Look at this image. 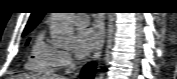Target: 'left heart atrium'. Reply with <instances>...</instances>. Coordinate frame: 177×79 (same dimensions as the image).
<instances>
[{
    "instance_id": "left-heart-atrium-1",
    "label": "left heart atrium",
    "mask_w": 177,
    "mask_h": 79,
    "mask_svg": "<svg viewBox=\"0 0 177 79\" xmlns=\"http://www.w3.org/2000/svg\"><path fill=\"white\" fill-rule=\"evenodd\" d=\"M97 37L90 28H81L75 36V54L77 58L86 57L96 46Z\"/></svg>"
}]
</instances>
